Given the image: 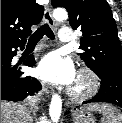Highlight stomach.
I'll return each mask as SVG.
<instances>
[{"label":"stomach","mask_w":122,"mask_h":123,"mask_svg":"<svg viewBox=\"0 0 122 123\" xmlns=\"http://www.w3.org/2000/svg\"><path fill=\"white\" fill-rule=\"evenodd\" d=\"M74 123H95V118L88 112L78 111L73 114Z\"/></svg>","instance_id":"obj_1"}]
</instances>
